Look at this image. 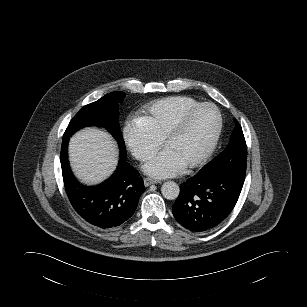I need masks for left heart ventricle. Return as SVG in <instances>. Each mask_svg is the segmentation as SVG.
<instances>
[{
    "mask_svg": "<svg viewBox=\"0 0 307 307\" xmlns=\"http://www.w3.org/2000/svg\"><path fill=\"white\" fill-rule=\"evenodd\" d=\"M217 126V116L211 109H199L189 118L183 131L170 139L164 148L170 150L185 165L199 156L211 140Z\"/></svg>",
    "mask_w": 307,
    "mask_h": 307,
    "instance_id": "1",
    "label": "left heart ventricle"
}]
</instances>
